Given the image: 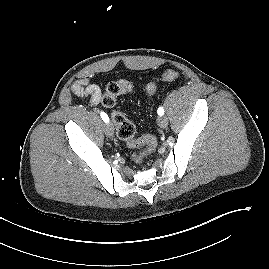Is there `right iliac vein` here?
Segmentation results:
<instances>
[{"instance_id": "right-iliac-vein-1", "label": "right iliac vein", "mask_w": 269, "mask_h": 269, "mask_svg": "<svg viewBox=\"0 0 269 269\" xmlns=\"http://www.w3.org/2000/svg\"><path fill=\"white\" fill-rule=\"evenodd\" d=\"M105 133L107 136L112 137L114 135V128L111 123L105 125Z\"/></svg>"}]
</instances>
